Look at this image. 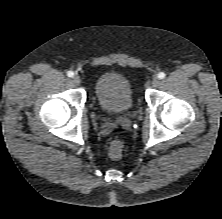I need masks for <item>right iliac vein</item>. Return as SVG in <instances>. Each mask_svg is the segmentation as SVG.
I'll return each mask as SVG.
<instances>
[{
  "label": "right iliac vein",
  "mask_w": 222,
  "mask_h": 219,
  "mask_svg": "<svg viewBox=\"0 0 222 219\" xmlns=\"http://www.w3.org/2000/svg\"><path fill=\"white\" fill-rule=\"evenodd\" d=\"M72 82L73 84L75 85H79L81 83V78L78 76V75H75L73 78H72Z\"/></svg>",
  "instance_id": "obj_1"
}]
</instances>
